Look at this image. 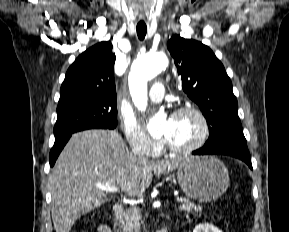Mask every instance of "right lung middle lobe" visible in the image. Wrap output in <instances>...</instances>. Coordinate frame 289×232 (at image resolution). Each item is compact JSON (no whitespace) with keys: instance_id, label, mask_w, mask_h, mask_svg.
<instances>
[{"instance_id":"dd1d6c3e","label":"right lung middle lobe","mask_w":289,"mask_h":232,"mask_svg":"<svg viewBox=\"0 0 289 232\" xmlns=\"http://www.w3.org/2000/svg\"><path fill=\"white\" fill-rule=\"evenodd\" d=\"M55 138L86 129H114L117 126V101L81 98L57 107Z\"/></svg>"}]
</instances>
